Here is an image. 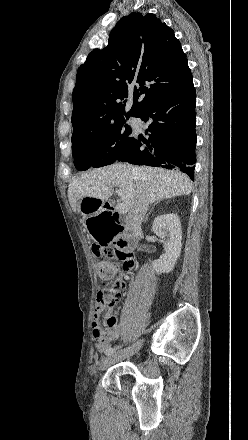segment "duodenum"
<instances>
[{
    "mask_svg": "<svg viewBox=\"0 0 248 440\" xmlns=\"http://www.w3.org/2000/svg\"><path fill=\"white\" fill-rule=\"evenodd\" d=\"M106 209H113L111 202H105ZM113 228L116 229V234H121L119 237V245L128 251H133L137 247V236L132 232H125L120 214L113 213Z\"/></svg>",
    "mask_w": 248,
    "mask_h": 440,
    "instance_id": "duodenum-1",
    "label": "duodenum"
}]
</instances>
